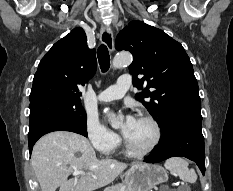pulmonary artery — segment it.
<instances>
[{
  "instance_id": "obj_1",
  "label": "pulmonary artery",
  "mask_w": 233,
  "mask_h": 191,
  "mask_svg": "<svg viewBox=\"0 0 233 191\" xmlns=\"http://www.w3.org/2000/svg\"><path fill=\"white\" fill-rule=\"evenodd\" d=\"M131 86V78L128 75H122L116 84L109 86L98 95L101 102H111L121 99Z\"/></svg>"
}]
</instances>
